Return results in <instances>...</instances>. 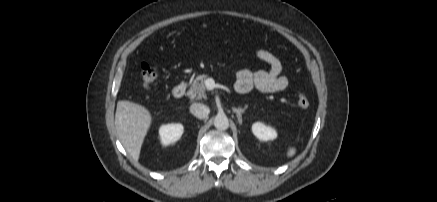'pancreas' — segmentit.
Masks as SVG:
<instances>
[{
    "instance_id": "1",
    "label": "pancreas",
    "mask_w": 437,
    "mask_h": 202,
    "mask_svg": "<svg viewBox=\"0 0 437 202\" xmlns=\"http://www.w3.org/2000/svg\"><path fill=\"white\" fill-rule=\"evenodd\" d=\"M208 76L205 74L197 76L192 83L190 84V89L187 92V95L190 97V99H205L206 98V86L205 82L207 80Z\"/></svg>"
}]
</instances>
